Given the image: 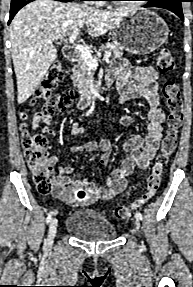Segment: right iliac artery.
Segmentation results:
<instances>
[{
    "instance_id": "right-iliac-artery-1",
    "label": "right iliac artery",
    "mask_w": 193,
    "mask_h": 287,
    "mask_svg": "<svg viewBox=\"0 0 193 287\" xmlns=\"http://www.w3.org/2000/svg\"><path fill=\"white\" fill-rule=\"evenodd\" d=\"M52 216H53V212H50V213L48 214L47 218H46L47 224L51 221Z\"/></svg>"
}]
</instances>
